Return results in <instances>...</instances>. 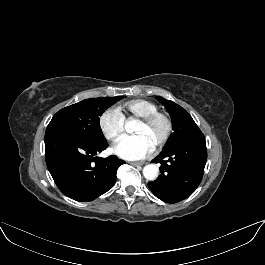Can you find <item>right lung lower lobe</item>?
I'll list each match as a JSON object with an SVG mask.
<instances>
[{"label": "right lung lower lobe", "mask_w": 265, "mask_h": 265, "mask_svg": "<svg viewBox=\"0 0 265 265\" xmlns=\"http://www.w3.org/2000/svg\"><path fill=\"white\" fill-rule=\"evenodd\" d=\"M108 146L106 139L94 141L71 132L45 134V159L59 190L80 202L92 201L107 192L116 181L123 160L97 155Z\"/></svg>", "instance_id": "1"}]
</instances>
